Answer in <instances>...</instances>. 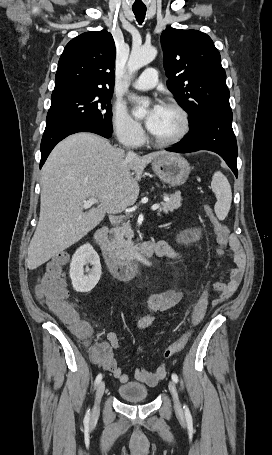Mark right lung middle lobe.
Returning a JSON list of instances; mask_svg holds the SVG:
<instances>
[{"mask_svg":"<svg viewBox=\"0 0 272 455\" xmlns=\"http://www.w3.org/2000/svg\"><path fill=\"white\" fill-rule=\"evenodd\" d=\"M112 94L71 96L51 101L46 127L69 122L90 121L112 129Z\"/></svg>","mask_w":272,"mask_h":455,"instance_id":"dd1d6c3e","label":"right lung middle lobe"}]
</instances>
